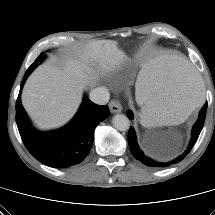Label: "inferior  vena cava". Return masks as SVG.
I'll return each mask as SVG.
<instances>
[{
	"label": "inferior vena cava",
	"instance_id": "obj_1",
	"mask_svg": "<svg viewBox=\"0 0 215 215\" xmlns=\"http://www.w3.org/2000/svg\"><path fill=\"white\" fill-rule=\"evenodd\" d=\"M110 99V94L106 88L98 87L91 90L90 100L99 105H105Z\"/></svg>",
	"mask_w": 215,
	"mask_h": 215
}]
</instances>
